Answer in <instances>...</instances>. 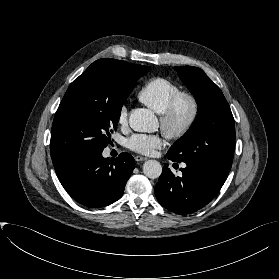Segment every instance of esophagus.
<instances>
[{
    "label": "esophagus",
    "mask_w": 279,
    "mask_h": 279,
    "mask_svg": "<svg viewBox=\"0 0 279 279\" xmlns=\"http://www.w3.org/2000/svg\"><path fill=\"white\" fill-rule=\"evenodd\" d=\"M135 160H136L137 162H142V161L147 160V158H146V157H143V156L137 155V156H135Z\"/></svg>",
    "instance_id": "esophagus-1"
}]
</instances>
